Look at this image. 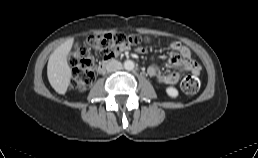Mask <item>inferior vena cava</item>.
I'll return each instance as SVG.
<instances>
[{
	"label": "inferior vena cava",
	"instance_id": "obj_1",
	"mask_svg": "<svg viewBox=\"0 0 258 158\" xmlns=\"http://www.w3.org/2000/svg\"><path fill=\"white\" fill-rule=\"evenodd\" d=\"M121 68H122V64L117 60H111L106 65L107 72H114V71L120 70Z\"/></svg>",
	"mask_w": 258,
	"mask_h": 158
}]
</instances>
